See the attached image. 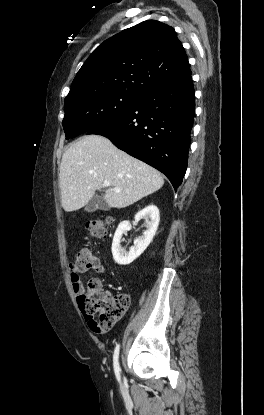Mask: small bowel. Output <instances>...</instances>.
<instances>
[{
  "mask_svg": "<svg viewBox=\"0 0 264 415\" xmlns=\"http://www.w3.org/2000/svg\"><path fill=\"white\" fill-rule=\"evenodd\" d=\"M95 270L98 273L104 272V270H105L104 265L100 261H98L97 265L95 267ZM83 272H85V269H83V268L77 270L76 272L70 271V278H71L73 289L78 294H80L81 290H82V282H81V279H80V274L83 273ZM93 330L96 333H99V334L105 333L104 329H93Z\"/></svg>",
  "mask_w": 264,
  "mask_h": 415,
  "instance_id": "obj_1",
  "label": "small bowel"
}]
</instances>
